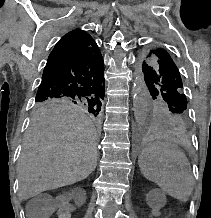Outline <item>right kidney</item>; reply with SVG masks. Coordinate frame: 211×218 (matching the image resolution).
<instances>
[{"label": "right kidney", "mask_w": 211, "mask_h": 218, "mask_svg": "<svg viewBox=\"0 0 211 218\" xmlns=\"http://www.w3.org/2000/svg\"><path fill=\"white\" fill-rule=\"evenodd\" d=\"M52 202H62V209L61 206H56V211L61 214L58 218H72L70 214H74L73 198L52 197Z\"/></svg>", "instance_id": "right-kidney-1"}]
</instances>
